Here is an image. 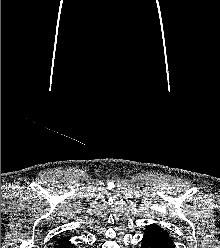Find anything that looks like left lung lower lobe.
<instances>
[{
	"label": "left lung lower lobe",
	"instance_id": "obj_1",
	"mask_svg": "<svg viewBox=\"0 0 220 248\" xmlns=\"http://www.w3.org/2000/svg\"><path fill=\"white\" fill-rule=\"evenodd\" d=\"M142 248H175L173 241L167 240L160 232L152 227L147 226L145 234L141 241Z\"/></svg>",
	"mask_w": 220,
	"mask_h": 248
}]
</instances>
